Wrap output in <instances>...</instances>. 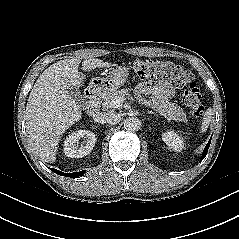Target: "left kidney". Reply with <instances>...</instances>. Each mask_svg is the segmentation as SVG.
Here are the masks:
<instances>
[{"label": "left kidney", "instance_id": "obj_1", "mask_svg": "<svg viewBox=\"0 0 239 239\" xmlns=\"http://www.w3.org/2000/svg\"><path fill=\"white\" fill-rule=\"evenodd\" d=\"M162 140L174 151L180 152L184 148L183 139L173 131L164 133L162 135Z\"/></svg>", "mask_w": 239, "mask_h": 239}]
</instances>
